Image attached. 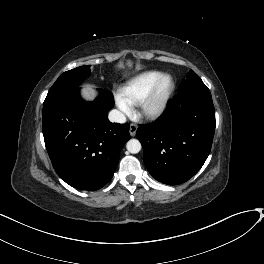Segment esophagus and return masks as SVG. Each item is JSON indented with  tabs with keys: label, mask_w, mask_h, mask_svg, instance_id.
Instances as JSON below:
<instances>
[{
	"label": "esophagus",
	"mask_w": 264,
	"mask_h": 264,
	"mask_svg": "<svg viewBox=\"0 0 264 264\" xmlns=\"http://www.w3.org/2000/svg\"><path fill=\"white\" fill-rule=\"evenodd\" d=\"M136 131H137V125L134 123H131L130 128H129L130 135L134 137L136 135Z\"/></svg>",
	"instance_id": "obj_1"
}]
</instances>
